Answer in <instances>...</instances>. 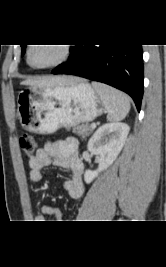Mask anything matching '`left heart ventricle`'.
Here are the masks:
<instances>
[{"mask_svg": "<svg viewBox=\"0 0 166 267\" xmlns=\"http://www.w3.org/2000/svg\"><path fill=\"white\" fill-rule=\"evenodd\" d=\"M58 44H37L30 52V62L33 65H46L56 61L61 56Z\"/></svg>", "mask_w": 166, "mask_h": 267, "instance_id": "left-heart-ventricle-1", "label": "left heart ventricle"}]
</instances>
